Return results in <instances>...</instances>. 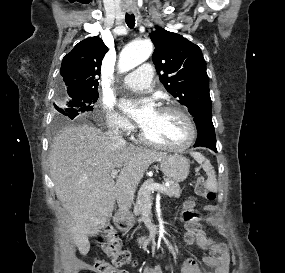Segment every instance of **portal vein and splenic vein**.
I'll use <instances>...</instances> for the list:
<instances>
[{
    "label": "portal vein and splenic vein",
    "mask_w": 285,
    "mask_h": 273,
    "mask_svg": "<svg viewBox=\"0 0 285 273\" xmlns=\"http://www.w3.org/2000/svg\"><path fill=\"white\" fill-rule=\"evenodd\" d=\"M111 177L115 178L118 175L117 170H112L110 173ZM148 190L154 191V190H160L162 192L166 191L167 188L164 185H161L159 183H152L150 185L145 186Z\"/></svg>",
    "instance_id": "obj_1"
}]
</instances>
